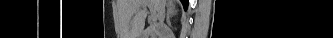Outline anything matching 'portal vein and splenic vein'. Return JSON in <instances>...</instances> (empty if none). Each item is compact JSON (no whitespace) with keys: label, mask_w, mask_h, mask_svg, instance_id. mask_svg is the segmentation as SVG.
<instances>
[{"label":"portal vein and splenic vein","mask_w":333,"mask_h":38,"mask_svg":"<svg viewBox=\"0 0 333 38\" xmlns=\"http://www.w3.org/2000/svg\"><path fill=\"white\" fill-rule=\"evenodd\" d=\"M149 7H150V11H151V16H150L151 20L156 21L157 18H158V15H157L156 11L151 6H149Z\"/></svg>","instance_id":"portal-vein-and-splenic-vein-1"}]
</instances>
